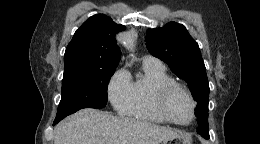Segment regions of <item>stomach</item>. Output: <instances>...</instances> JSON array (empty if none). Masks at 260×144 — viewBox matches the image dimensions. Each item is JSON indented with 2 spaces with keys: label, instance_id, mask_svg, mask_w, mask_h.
<instances>
[{
  "label": "stomach",
  "instance_id": "stomach-1",
  "mask_svg": "<svg viewBox=\"0 0 260 144\" xmlns=\"http://www.w3.org/2000/svg\"><path fill=\"white\" fill-rule=\"evenodd\" d=\"M162 144H182V137L177 136L167 141H163Z\"/></svg>",
  "mask_w": 260,
  "mask_h": 144
}]
</instances>
